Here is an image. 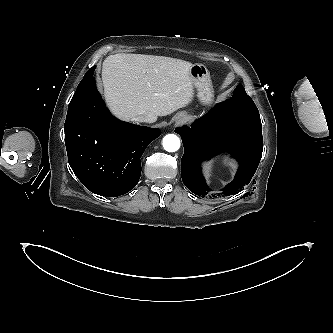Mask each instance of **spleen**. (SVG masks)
Here are the masks:
<instances>
[{"mask_svg":"<svg viewBox=\"0 0 333 333\" xmlns=\"http://www.w3.org/2000/svg\"><path fill=\"white\" fill-rule=\"evenodd\" d=\"M223 162H224L225 165H230L231 164V162L229 161L228 157H225L223 159Z\"/></svg>","mask_w":333,"mask_h":333,"instance_id":"1","label":"spleen"}]
</instances>
